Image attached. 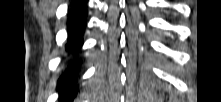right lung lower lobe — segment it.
<instances>
[{
	"instance_id": "98d812e1",
	"label": "right lung lower lobe",
	"mask_w": 221,
	"mask_h": 102,
	"mask_svg": "<svg viewBox=\"0 0 221 102\" xmlns=\"http://www.w3.org/2000/svg\"><path fill=\"white\" fill-rule=\"evenodd\" d=\"M87 5L85 0L73 1L67 15L66 69L57 82L61 97H74L77 86V73L81 65L80 50L83 45V34L87 22Z\"/></svg>"
}]
</instances>
